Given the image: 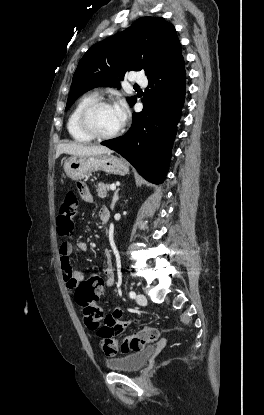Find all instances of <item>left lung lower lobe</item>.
Here are the masks:
<instances>
[{
	"label": "left lung lower lobe",
	"mask_w": 264,
	"mask_h": 415,
	"mask_svg": "<svg viewBox=\"0 0 264 415\" xmlns=\"http://www.w3.org/2000/svg\"><path fill=\"white\" fill-rule=\"evenodd\" d=\"M148 80L142 99L143 111L133 113L130 130L124 136L101 144L126 158L145 179L161 184L167 174L176 126L185 100L183 56L149 76Z\"/></svg>",
	"instance_id": "obj_1"
}]
</instances>
